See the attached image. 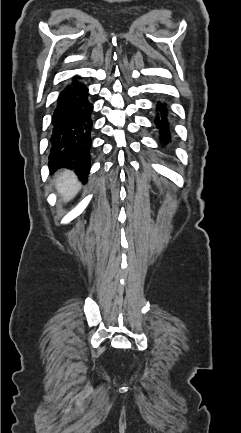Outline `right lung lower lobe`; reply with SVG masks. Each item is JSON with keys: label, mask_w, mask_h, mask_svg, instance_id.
<instances>
[{"label": "right lung lower lobe", "mask_w": 241, "mask_h": 433, "mask_svg": "<svg viewBox=\"0 0 241 433\" xmlns=\"http://www.w3.org/2000/svg\"><path fill=\"white\" fill-rule=\"evenodd\" d=\"M88 96V88L74 77L57 100L50 139L52 147L56 148L49 156L50 170L74 169L82 181H86L89 174L92 144L93 105Z\"/></svg>", "instance_id": "obj_1"}]
</instances>
